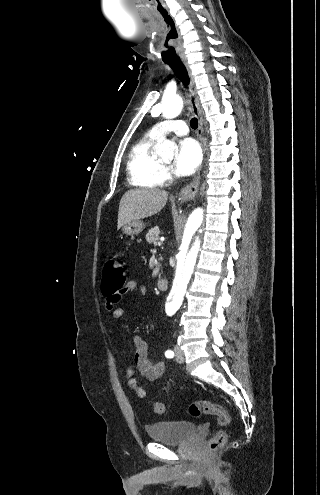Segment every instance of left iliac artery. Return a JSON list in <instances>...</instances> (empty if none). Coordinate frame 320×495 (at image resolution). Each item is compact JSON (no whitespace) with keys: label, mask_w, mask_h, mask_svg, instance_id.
Instances as JSON below:
<instances>
[{"label":"left iliac artery","mask_w":320,"mask_h":495,"mask_svg":"<svg viewBox=\"0 0 320 495\" xmlns=\"http://www.w3.org/2000/svg\"><path fill=\"white\" fill-rule=\"evenodd\" d=\"M165 356H166L167 358H172V357L174 356V353H173V351H171V350H167V351L165 352Z\"/></svg>","instance_id":"1"}]
</instances>
